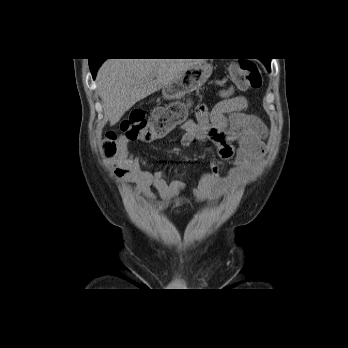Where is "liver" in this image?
I'll use <instances>...</instances> for the list:
<instances>
[{
	"mask_svg": "<svg viewBox=\"0 0 348 348\" xmlns=\"http://www.w3.org/2000/svg\"><path fill=\"white\" fill-rule=\"evenodd\" d=\"M199 59H107L96 76L104 114L113 126L136 102L160 90Z\"/></svg>",
	"mask_w": 348,
	"mask_h": 348,
	"instance_id": "6515ba94",
	"label": "liver"
}]
</instances>
